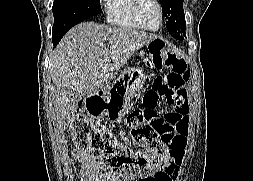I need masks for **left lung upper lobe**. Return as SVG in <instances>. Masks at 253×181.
I'll return each instance as SVG.
<instances>
[{"label": "left lung upper lobe", "mask_w": 253, "mask_h": 181, "mask_svg": "<svg viewBox=\"0 0 253 181\" xmlns=\"http://www.w3.org/2000/svg\"><path fill=\"white\" fill-rule=\"evenodd\" d=\"M160 3L163 14L168 19L166 26L169 33L173 37L183 40L186 37L183 0H160Z\"/></svg>", "instance_id": "5c2ea615"}]
</instances>
